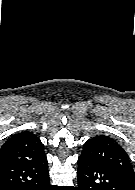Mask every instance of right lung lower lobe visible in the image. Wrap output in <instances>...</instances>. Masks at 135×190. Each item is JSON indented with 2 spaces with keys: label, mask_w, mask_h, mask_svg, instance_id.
<instances>
[{
  "label": "right lung lower lobe",
  "mask_w": 135,
  "mask_h": 190,
  "mask_svg": "<svg viewBox=\"0 0 135 190\" xmlns=\"http://www.w3.org/2000/svg\"><path fill=\"white\" fill-rule=\"evenodd\" d=\"M0 190H54L49 184L46 156L1 164Z\"/></svg>",
  "instance_id": "right-lung-lower-lobe-1"
}]
</instances>
